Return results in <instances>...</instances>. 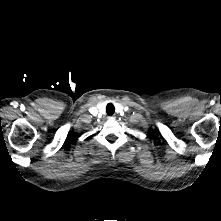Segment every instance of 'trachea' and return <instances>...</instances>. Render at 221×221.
Segmentation results:
<instances>
[{
	"instance_id": "trachea-1",
	"label": "trachea",
	"mask_w": 221,
	"mask_h": 221,
	"mask_svg": "<svg viewBox=\"0 0 221 221\" xmlns=\"http://www.w3.org/2000/svg\"><path fill=\"white\" fill-rule=\"evenodd\" d=\"M114 112H115V107H114V105H113L112 103H109V104L106 106V113H107L108 115H112V114H114Z\"/></svg>"
}]
</instances>
